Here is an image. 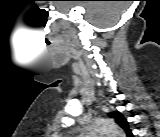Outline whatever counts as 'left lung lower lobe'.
<instances>
[{
	"instance_id": "1",
	"label": "left lung lower lobe",
	"mask_w": 160,
	"mask_h": 137,
	"mask_svg": "<svg viewBox=\"0 0 160 137\" xmlns=\"http://www.w3.org/2000/svg\"><path fill=\"white\" fill-rule=\"evenodd\" d=\"M127 135H128V136H132V133H131V131H129V132L127 133Z\"/></svg>"
}]
</instances>
